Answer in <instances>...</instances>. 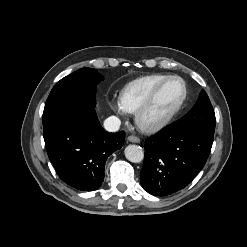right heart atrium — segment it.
<instances>
[{"label": "right heart atrium", "instance_id": "obj_1", "mask_svg": "<svg viewBox=\"0 0 247 247\" xmlns=\"http://www.w3.org/2000/svg\"><path fill=\"white\" fill-rule=\"evenodd\" d=\"M110 106H111V108L114 110V111H116V112H118V113H120V114H123L125 111L123 110V108L121 107V105H120V102L118 101H110Z\"/></svg>", "mask_w": 247, "mask_h": 247}]
</instances>
